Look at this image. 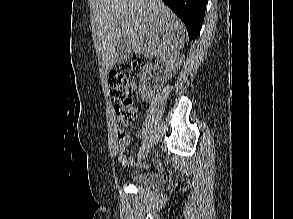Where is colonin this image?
Masks as SVG:
<instances>
[{
  "mask_svg": "<svg viewBox=\"0 0 293 219\" xmlns=\"http://www.w3.org/2000/svg\"><path fill=\"white\" fill-rule=\"evenodd\" d=\"M143 67L144 60L134 56L109 73L110 96L115 104L118 128L122 132L131 126L137 117L134 101L137 90L136 78Z\"/></svg>",
  "mask_w": 293,
  "mask_h": 219,
  "instance_id": "colon-1",
  "label": "colon"
}]
</instances>
